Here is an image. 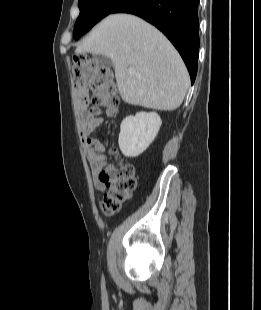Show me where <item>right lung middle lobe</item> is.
Listing matches in <instances>:
<instances>
[{
    "label": "right lung middle lobe",
    "mask_w": 261,
    "mask_h": 310,
    "mask_svg": "<svg viewBox=\"0 0 261 310\" xmlns=\"http://www.w3.org/2000/svg\"><path fill=\"white\" fill-rule=\"evenodd\" d=\"M123 1L125 0H79L80 15L74 27V39H79Z\"/></svg>",
    "instance_id": "dd1d6c3e"
}]
</instances>
